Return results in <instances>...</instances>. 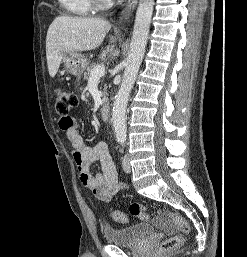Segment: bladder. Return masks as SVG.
Listing matches in <instances>:
<instances>
[{
	"label": "bladder",
	"mask_w": 247,
	"mask_h": 257,
	"mask_svg": "<svg viewBox=\"0 0 247 257\" xmlns=\"http://www.w3.org/2000/svg\"><path fill=\"white\" fill-rule=\"evenodd\" d=\"M153 232V227L147 223H139L126 228L105 227L103 231L108 243L124 247L138 244Z\"/></svg>",
	"instance_id": "1"
}]
</instances>
